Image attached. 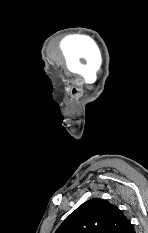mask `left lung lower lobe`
I'll return each mask as SVG.
<instances>
[{"label": "left lung lower lobe", "mask_w": 148, "mask_h": 233, "mask_svg": "<svg viewBox=\"0 0 148 233\" xmlns=\"http://www.w3.org/2000/svg\"><path fill=\"white\" fill-rule=\"evenodd\" d=\"M130 233H135V230H134V228H133V230H132V231H130Z\"/></svg>", "instance_id": "1"}]
</instances>
